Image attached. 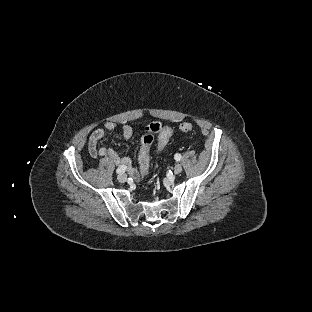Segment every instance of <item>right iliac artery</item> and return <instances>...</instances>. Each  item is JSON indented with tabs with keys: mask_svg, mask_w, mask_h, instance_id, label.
<instances>
[{
	"mask_svg": "<svg viewBox=\"0 0 312 312\" xmlns=\"http://www.w3.org/2000/svg\"><path fill=\"white\" fill-rule=\"evenodd\" d=\"M127 167L125 165L120 166L117 170L116 173L121 174L126 171Z\"/></svg>",
	"mask_w": 312,
	"mask_h": 312,
	"instance_id": "82829eb1",
	"label": "right iliac artery"
}]
</instances>
